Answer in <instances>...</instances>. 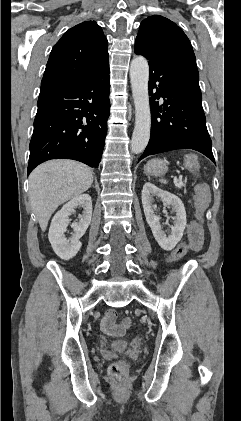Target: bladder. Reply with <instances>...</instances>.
<instances>
[{"instance_id":"bladder-1","label":"bladder","mask_w":241,"mask_h":421,"mask_svg":"<svg viewBox=\"0 0 241 421\" xmlns=\"http://www.w3.org/2000/svg\"><path fill=\"white\" fill-rule=\"evenodd\" d=\"M130 346V342L126 340H118L112 343V348L117 351H124L128 349Z\"/></svg>"}]
</instances>
